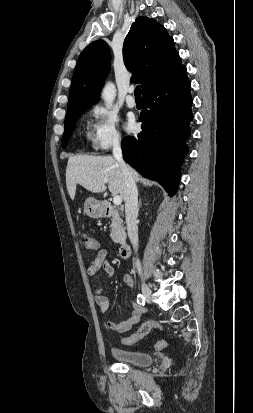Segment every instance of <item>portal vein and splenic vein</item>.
Returning a JSON list of instances; mask_svg holds the SVG:
<instances>
[{"label": "portal vein and splenic vein", "instance_id": "18ae733b", "mask_svg": "<svg viewBox=\"0 0 253 413\" xmlns=\"http://www.w3.org/2000/svg\"><path fill=\"white\" fill-rule=\"evenodd\" d=\"M104 182L107 183L108 179H104ZM114 205H120L122 203V198L119 195H115L113 198Z\"/></svg>", "mask_w": 253, "mask_h": 413}]
</instances>
